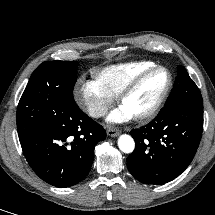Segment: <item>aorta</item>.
<instances>
[{"instance_id":"obj_1","label":"aorta","mask_w":215,"mask_h":215,"mask_svg":"<svg viewBox=\"0 0 215 215\" xmlns=\"http://www.w3.org/2000/svg\"><path fill=\"white\" fill-rule=\"evenodd\" d=\"M118 147L124 153H131L134 150L135 142L130 135L123 134L118 139Z\"/></svg>"}]
</instances>
